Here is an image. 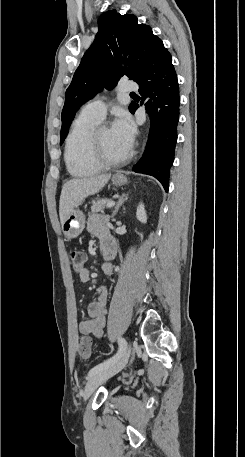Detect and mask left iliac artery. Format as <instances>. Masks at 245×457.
Wrapping results in <instances>:
<instances>
[{
  "instance_id": "obj_1",
  "label": "left iliac artery",
  "mask_w": 245,
  "mask_h": 457,
  "mask_svg": "<svg viewBox=\"0 0 245 457\" xmlns=\"http://www.w3.org/2000/svg\"><path fill=\"white\" fill-rule=\"evenodd\" d=\"M118 344H119V350L118 352L112 356L111 358L105 360L104 362L94 366L88 373V376L92 375V374H95L103 369H106L108 367H110L111 365H113L121 356L122 354L125 352L126 348H127V342L124 338L122 337H119L118 338Z\"/></svg>"
}]
</instances>
